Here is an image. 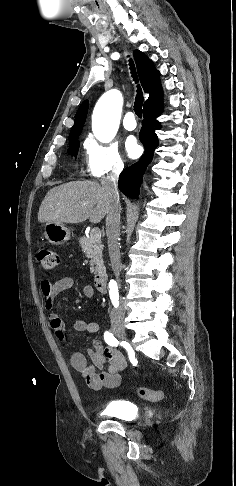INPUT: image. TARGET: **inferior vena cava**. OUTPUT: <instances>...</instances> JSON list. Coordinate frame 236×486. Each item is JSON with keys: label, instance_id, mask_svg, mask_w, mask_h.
I'll return each instance as SVG.
<instances>
[{"label": "inferior vena cava", "instance_id": "602c4592", "mask_svg": "<svg viewBox=\"0 0 236 486\" xmlns=\"http://www.w3.org/2000/svg\"><path fill=\"white\" fill-rule=\"evenodd\" d=\"M124 168L123 162H118L111 174L101 179V185L106 190L109 197V205L106 214V234L108 239V251L111 261L112 270L119 281L120 271L122 269L121 256L119 249V235H120V212L121 206L119 203V192L117 188L118 177ZM123 311L122 306L117 310L112 311V315H116Z\"/></svg>", "mask_w": 236, "mask_h": 486}]
</instances>
